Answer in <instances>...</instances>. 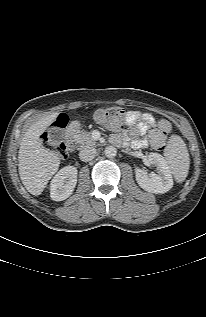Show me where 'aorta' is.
<instances>
[{"label": "aorta", "mask_w": 206, "mask_h": 317, "mask_svg": "<svg viewBox=\"0 0 206 317\" xmlns=\"http://www.w3.org/2000/svg\"><path fill=\"white\" fill-rule=\"evenodd\" d=\"M104 153L108 158H114L117 154V149L114 146H108L105 148Z\"/></svg>", "instance_id": "1"}]
</instances>
